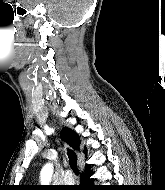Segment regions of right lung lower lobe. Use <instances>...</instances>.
I'll use <instances>...</instances> for the list:
<instances>
[{"label":"right lung lower lobe","instance_id":"98d812e1","mask_svg":"<svg viewBox=\"0 0 165 190\" xmlns=\"http://www.w3.org/2000/svg\"><path fill=\"white\" fill-rule=\"evenodd\" d=\"M92 171L90 170V166H85V175L81 177V185L79 186V190H108L104 186L93 185L92 181L89 180Z\"/></svg>","mask_w":165,"mask_h":190}]
</instances>
